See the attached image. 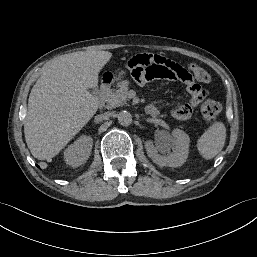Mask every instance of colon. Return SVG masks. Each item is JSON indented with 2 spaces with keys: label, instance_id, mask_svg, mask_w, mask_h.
Instances as JSON below:
<instances>
[{
  "label": "colon",
  "instance_id": "colon-1",
  "mask_svg": "<svg viewBox=\"0 0 257 257\" xmlns=\"http://www.w3.org/2000/svg\"><path fill=\"white\" fill-rule=\"evenodd\" d=\"M136 56V55H134ZM133 56V57H134ZM179 65V64H178ZM188 67L194 69L197 73L196 81L207 83L210 81L209 73L202 67L196 64H189ZM196 84V83H195ZM197 86V84H196ZM200 111L208 124H212L220 112V105L213 100H206L201 103Z\"/></svg>",
  "mask_w": 257,
  "mask_h": 257
}]
</instances>
